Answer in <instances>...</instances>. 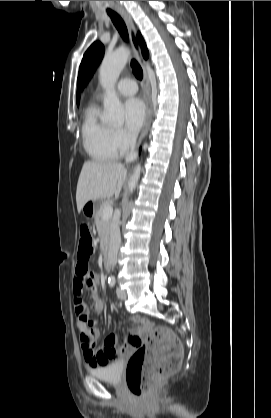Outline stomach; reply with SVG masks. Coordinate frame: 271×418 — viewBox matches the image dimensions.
I'll use <instances>...</instances> for the list:
<instances>
[{
    "instance_id": "0dacf381",
    "label": "stomach",
    "mask_w": 271,
    "mask_h": 418,
    "mask_svg": "<svg viewBox=\"0 0 271 418\" xmlns=\"http://www.w3.org/2000/svg\"><path fill=\"white\" fill-rule=\"evenodd\" d=\"M101 205L100 200H90L86 202L83 206V214L87 218H92L96 214L97 210L99 209Z\"/></svg>"
}]
</instances>
